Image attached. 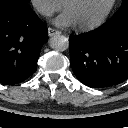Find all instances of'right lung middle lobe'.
Returning <instances> with one entry per match:
<instances>
[{
    "mask_svg": "<svg viewBox=\"0 0 128 128\" xmlns=\"http://www.w3.org/2000/svg\"><path fill=\"white\" fill-rule=\"evenodd\" d=\"M30 0H0V4H19L22 6H29Z\"/></svg>",
    "mask_w": 128,
    "mask_h": 128,
    "instance_id": "dd1d6c3e",
    "label": "right lung middle lobe"
}]
</instances>
